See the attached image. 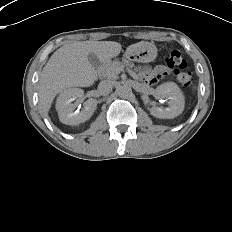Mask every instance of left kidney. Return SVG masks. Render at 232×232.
<instances>
[{
    "mask_svg": "<svg viewBox=\"0 0 232 232\" xmlns=\"http://www.w3.org/2000/svg\"><path fill=\"white\" fill-rule=\"evenodd\" d=\"M156 94L159 98H168L167 108H160L153 105L149 111L151 115L160 119H172L180 115L184 110V96L182 91L174 82H167L156 88Z\"/></svg>",
    "mask_w": 232,
    "mask_h": 232,
    "instance_id": "5707ae66",
    "label": "left kidney"
}]
</instances>
